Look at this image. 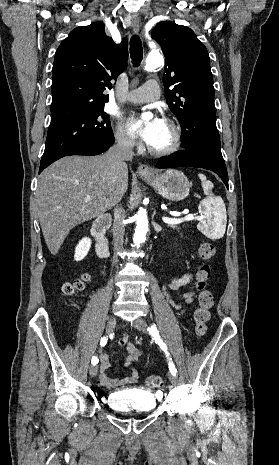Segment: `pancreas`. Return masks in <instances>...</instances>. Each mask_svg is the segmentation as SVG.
Masks as SVG:
<instances>
[{
    "mask_svg": "<svg viewBox=\"0 0 279 465\" xmlns=\"http://www.w3.org/2000/svg\"><path fill=\"white\" fill-rule=\"evenodd\" d=\"M172 228H177L176 226H171Z\"/></svg>",
    "mask_w": 279,
    "mask_h": 465,
    "instance_id": "1",
    "label": "pancreas"
}]
</instances>
